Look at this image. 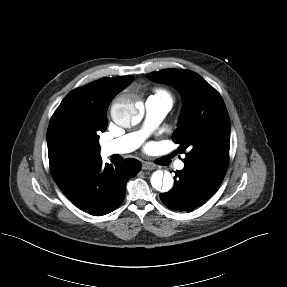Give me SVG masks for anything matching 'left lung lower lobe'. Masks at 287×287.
<instances>
[{
	"mask_svg": "<svg viewBox=\"0 0 287 287\" xmlns=\"http://www.w3.org/2000/svg\"><path fill=\"white\" fill-rule=\"evenodd\" d=\"M220 184L201 169L185 164L175 172L173 188L160 198L168 208L192 212L215 194Z\"/></svg>",
	"mask_w": 287,
	"mask_h": 287,
	"instance_id": "left-lung-lower-lobe-1",
	"label": "left lung lower lobe"
}]
</instances>
